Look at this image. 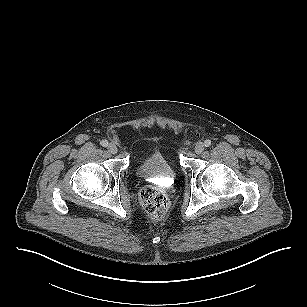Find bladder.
Listing matches in <instances>:
<instances>
[{
  "mask_svg": "<svg viewBox=\"0 0 307 307\" xmlns=\"http://www.w3.org/2000/svg\"><path fill=\"white\" fill-rule=\"evenodd\" d=\"M136 174L142 179H174L175 170L159 151L153 152L136 165Z\"/></svg>",
  "mask_w": 307,
  "mask_h": 307,
  "instance_id": "31cf9c89",
  "label": "bladder"
}]
</instances>
